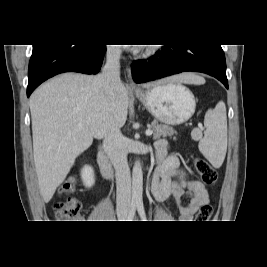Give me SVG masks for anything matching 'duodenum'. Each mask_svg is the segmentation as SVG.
<instances>
[{
    "mask_svg": "<svg viewBox=\"0 0 267 267\" xmlns=\"http://www.w3.org/2000/svg\"><path fill=\"white\" fill-rule=\"evenodd\" d=\"M97 163L99 165L102 175L105 178L108 179L114 175V170L107 156L105 155L101 144L98 145V149H97Z\"/></svg>",
    "mask_w": 267,
    "mask_h": 267,
    "instance_id": "duodenum-1",
    "label": "duodenum"
}]
</instances>
